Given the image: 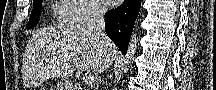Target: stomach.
<instances>
[{"label":"stomach","instance_id":"0dacf381","mask_svg":"<svg viewBox=\"0 0 216 90\" xmlns=\"http://www.w3.org/2000/svg\"><path fill=\"white\" fill-rule=\"evenodd\" d=\"M57 90H71V86L67 81L63 80L58 83Z\"/></svg>","mask_w":216,"mask_h":90}]
</instances>
